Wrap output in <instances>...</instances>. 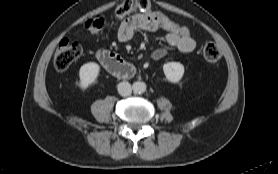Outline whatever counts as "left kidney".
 I'll return each instance as SVG.
<instances>
[{
    "label": "left kidney",
    "instance_id": "obj_1",
    "mask_svg": "<svg viewBox=\"0 0 278 174\" xmlns=\"http://www.w3.org/2000/svg\"><path fill=\"white\" fill-rule=\"evenodd\" d=\"M163 71L169 82L178 83L184 75V66L179 62H168L163 65Z\"/></svg>",
    "mask_w": 278,
    "mask_h": 174
}]
</instances>
